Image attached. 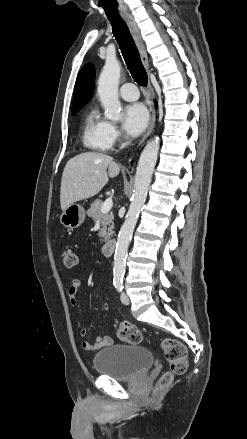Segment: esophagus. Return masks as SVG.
Instances as JSON below:
<instances>
[{
	"instance_id": "1",
	"label": "esophagus",
	"mask_w": 247,
	"mask_h": 439,
	"mask_svg": "<svg viewBox=\"0 0 247 439\" xmlns=\"http://www.w3.org/2000/svg\"><path fill=\"white\" fill-rule=\"evenodd\" d=\"M123 19L126 22L127 26L129 27V30H130V32H131V34L133 36V39H134L135 44L137 46V49L139 51V54H140V57H141V61H142L143 65H144L146 71L149 74V64H148L147 52H146L145 45H144V42H143L142 37H141L140 30H139V28H138V26H137V24L135 22V19L130 14L125 15L123 17ZM149 92H150L151 96L153 97L154 96V91H153V87H152V84H151L150 80H149ZM155 121H156V113H155V111H153V114H152L151 121H150V124L148 126V129L145 132V134L143 135V137L140 140L138 145H141L145 141V139L149 136V134L151 133V131H152L154 125H155Z\"/></svg>"
}]
</instances>
